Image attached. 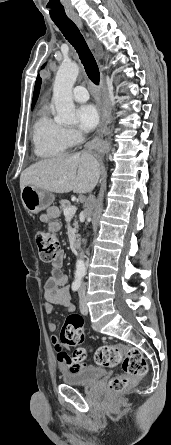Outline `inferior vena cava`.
Here are the masks:
<instances>
[{
	"mask_svg": "<svg viewBox=\"0 0 171 445\" xmlns=\"http://www.w3.org/2000/svg\"><path fill=\"white\" fill-rule=\"evenodd\" d=\"M85 289H86L85 284L82 283V285H81V287H80V292H81V293H84V292H85Z\"/></svg>",
	"mask_w": 171,
	"mask_h": 445,
	"instance_id": "inferior-vena-cava-1",
	"label": "inferior vena cava"
}]
</instances>
